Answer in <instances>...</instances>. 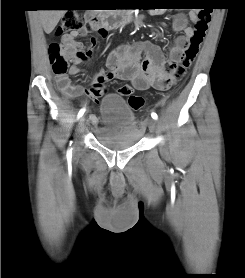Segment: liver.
<instances>
[{
  "label": "liver",
  "instance_id": "6515ba94",
  "mask_svg": "<svg viewBox=\"0 0 245 278\" xmlns=\"http://www.w3.org/2000/svg\"><path fill=\"white\" fill-rule=\"evenodd\" d=\"M66 10H40L39 18L45 33L50 34L57 26Z\"/></svg>",
  "mask_w": 245,
  "mask_h": 278
}]
</instances>
